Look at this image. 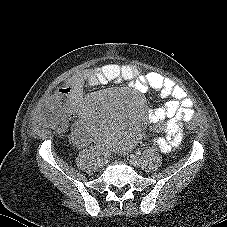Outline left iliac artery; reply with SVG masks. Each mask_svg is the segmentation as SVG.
<instances>
[{"mask_svg": "<svg viewBox=\"0 0 227 227\" xmlns=\"http://www.w3.org/2000/svg\"><path fill=\"white\" fill-rule=\"evenodd\" d=\"M137 154H138V155H140V154H141V152L139 151V152H137Z\"/></svg>", "mask_w": 227, "mask_h": 227, "instance_id": "left-iliac-artery-1", "label": "left iliac artery"}]
</instances>
